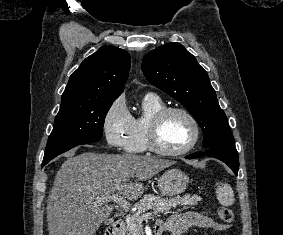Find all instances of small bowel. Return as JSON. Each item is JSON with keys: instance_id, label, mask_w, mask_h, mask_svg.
Masks as SVG:
<instances>
[{"instance_id": "obj_1", "label": "small bowel", "mask_w": 283, "mask_h": 235, "mask_svg": "<svg viewBox=\"0 0 283 235\" xmlns=\"http://www.w3.org/2000/svg\"><path fill=\"white\" fill-rule=\"evenodd\" d=\"M161 235L164 232H171L173 235H184L189 229L207 228L217 231L227 229V225L216 222L211 217L197 212L176 213L171 215L166 221H159Z\"/></svg>"}]
</instances>
